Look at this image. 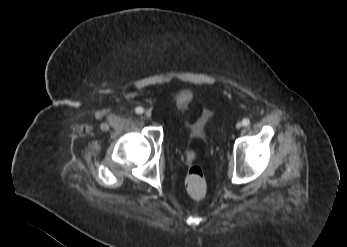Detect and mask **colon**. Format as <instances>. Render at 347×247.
Returning a JSON list of instances; mask_svg holds the SVG:
<instances>
[{
	"label": "colon",
	"mask_w": 347,
	"mask_h": 247,
	"mask_svg": "<svg viewBox=\"0 0 347 247\" xmlns=\"http://www.w3.org/2000/svg\"><path fill=\"white\" fill-rule=\"evenodd\" d=\"M187 158L190 168L185 179V188L192 199L200 200L205 196L207 190L204 171L196 163V155L193 151H188Z\"/></svg>",
	"instance_id": "1"
}]
</instances>
